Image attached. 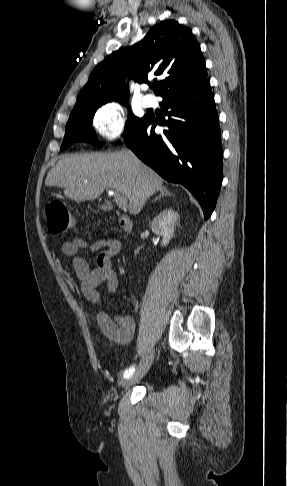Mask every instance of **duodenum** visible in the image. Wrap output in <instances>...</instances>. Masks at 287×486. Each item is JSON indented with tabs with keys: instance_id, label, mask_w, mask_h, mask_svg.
<instances>
[{
	"instance_id": "obj_1",
	"label": "duodenum",
	"mask_w": 287,
	"mask_h": 486,
	"mask_svg": "<svg viewBox=\"0 0 287 486\" xmlns=\"http://www.w3.org/2000/svg\"><path fill=\"white\" fill-rule=\"evenodd\" d=\"M118 222L122 230L130 232L132 230V222L126 215L120 214L118 216Z\"/></svg>"
}]
</instances>
